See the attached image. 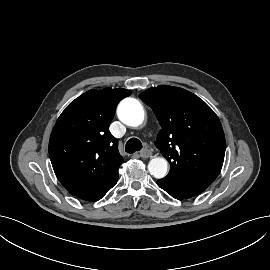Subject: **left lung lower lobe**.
Returning <instances> with one entry per match:
<instances>
[{"instance_id": "0a47b994", "label": "left lung lower lobe", "mask_w": 270, "mask_h": 270, "mask_svg": "<svg viewBox=\"0 0 270 270\" xmlns=\"http://www.w3.org/2000/svg\"><path fill=\"white\" fill-rule=\"evenodd\" d=\"M157 184L176 199H187L196 196L210 185V183L196 178L179 181L166 180L163 178L158 180Z\"/></svg>"}]
</instances>
